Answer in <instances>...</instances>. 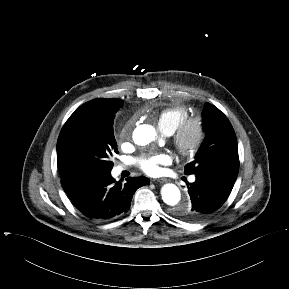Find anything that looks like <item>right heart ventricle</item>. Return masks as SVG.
Wrapping results in <instances>:
<instances>
[{"label": "right heart ventricle", "instance_id": "obj_1", "mask_svg": "<svg viewBox=\"0 0 289 289\" xmlns=\"http://www.w3.org/2000/svg\"><path fill=\"white\" fill-rule=\"evenodd\" d=\"M188 109L181 105L164 108L158 115V126L166 134H172L188 117Z\"/></svg>", "mask_w": 289, "mask_h": 289}]
</instances>
